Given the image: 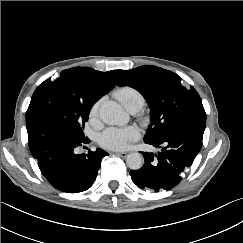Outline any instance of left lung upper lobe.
<instances>
[{
  "mask_svg": "<svg viewBox=\"0 0 243 243\" xmlns=\"http://www.w3.org/2000/svg\"><path fill=\"white\" fill-rule=\"evenodd\" d=\"M181 80L175 73L151 65L124 70L118 85L139 91L150 107L151 124L144 141L156 142L182 119L205 115L197 91L184 87Z\"/></svg>",
  "mask_w": 243,
  "mask_h": 243,
  "instance_id": "5c2ea615",
  "label": "left lung upper lobe"
}]
</instances>
